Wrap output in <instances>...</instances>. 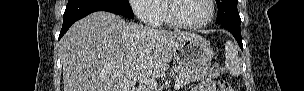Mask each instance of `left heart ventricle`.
Wrapping results in <instances>:
<instances>
[{"instance_id": "obj_1", "label": "left heart ventricle", "mask_w": 304, "mask_h": 91, "mask_svg": "<svg viewBox=\"0 0 304 91\" xmlns=\"http://www.w3.org/2000/svg\"><path fill=\"white\" fill-rule=\"evenodd\" d=\"M177 16L187 24H198L205 21L210 14L206 0H182L177 3Z\"/></svg>"}]
</instances>
